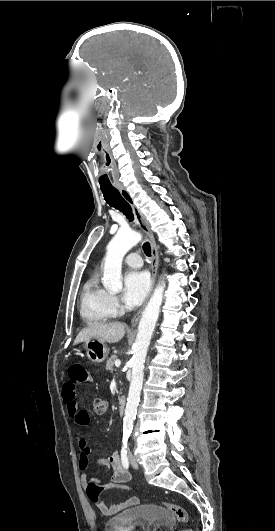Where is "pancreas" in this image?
I'll list each match as a JSON object with an SVG mask.
<instances>
[{"label":"pancreas","instance_id":"cf45deb5","mask_svg":"<svg viewBox=\"0 0 275 531\" xmlns=\"http://www.w3.org/2000/svg\"><path fill=\"white\" fill-rule=\"evenodd\" d=\"M117 355H111L106 361V371H114V363L117 361Z\"/></svg>","mask_w":275,"mask_h":531}]
</instances>
